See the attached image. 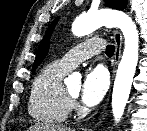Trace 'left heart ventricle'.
Masks as SVG:
<instances>
[{"mask_svg":"<svg viewBox=\"0 0 147 131\" xmlns=\"http://www.w3.org/2000/svg\"><path fill=\"white\" fill-rule=\"evenodd\" d=\"M67 89L73 95H77L79 93V90H80V83L75 82V83L69 85Z\"/></svg>","mask_w":147,"mask_h":131,"instance_id":"obj_1","label":"left heart ventricle"}]
</instances>
